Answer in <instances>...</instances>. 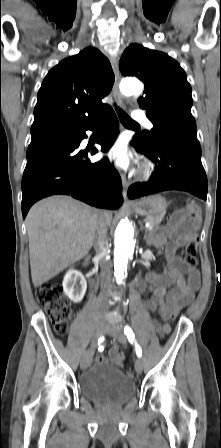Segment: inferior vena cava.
Wrapping results in <instances>:
<instances>
[{
	"label": "inferior vena cava",
	"instance_id": "602c4592",
	"mask_svg": "<svg viewBox=\"0 0 221 448\" xmlns=\"http://www.w3.org/2000/svg\"><path fill=\"white\" fill-rule=\"evenodd\" d=\"M107 227L108 225L105 222L103 215L99 214L93 245L96 254L101 258L100 283L102 289L108 288L111 284L110 266L109 263L105 260L108 251V242L106 239ZM107 308L108 304L106 300V302L104 301L103 303V309L105 310Z\"/></svg>",
	"mask_w": 221,
	"mask_h": 448
}]
</instances>
